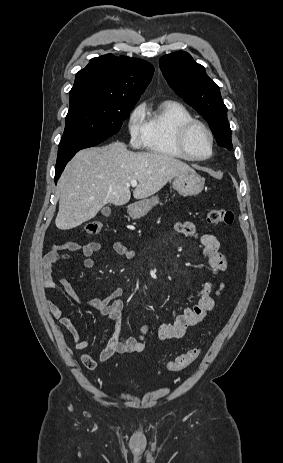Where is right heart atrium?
I'll use <instances>...</instances> for the list:
<instances>
[{
    "mask_svg": "<svg viewBox=\"0 0 283 463\" xmlns=\"http://www.w3.org/2000/svg\"><path fill=\"white\" fill-rule=\"evenodd\" d=\"M127 129L131 145L140 147L145 135L144 107L142 105L135 107L130 113Z\"/></svg>",
    "mask_w": 283,
    "mask_h": 463,
    "instance_id": "right-heart-atrium-1",
    "label": "right heart atrium"
}]
</instances>
